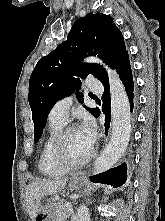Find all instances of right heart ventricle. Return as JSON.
Instances as JSON below:
<instances>
[{"instance_id": "1", "label": "right heart ventricle", "mask_w": 165, "mask_h": 221, "mask_svg": "<svg viewBox=\"0 0 165 221\" xmlns=\"http://www.w3.org/2000/svg\"><path fill=\"white\" fill-rule=\"evenodd\" d=\"M63 127L64 123L53 122L49 120L47 133L44 138L38 159V169L44 176L57 177L65 174L68 171L57 166L52 156L54 139Z\"/></svg>"}]
</instances>
